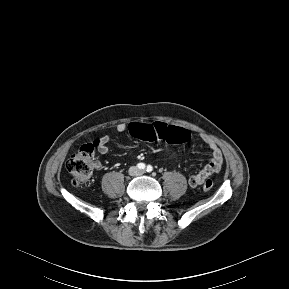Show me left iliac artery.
I'll return each instance as SVG.
<instances>
[{"mask_svg": "<svg viewBox=\"0 0 289 289\" xmlns=\"http://www.w3.org/2000/svg\"><path fill=\"white\" fill-rule=\"evenodd\" d=\"M153 170V167L151 165H148L147 168H146V171L147 172H152Z\"/></svg>", "mask_w": 289, "mask_h": 289, "instance_id": "1", "label": "left iliac artery"}]
</instances>
